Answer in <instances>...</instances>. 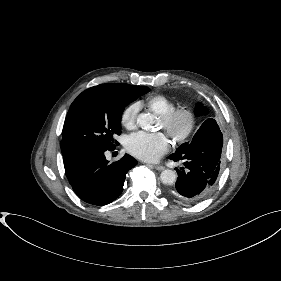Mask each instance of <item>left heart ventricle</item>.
<instances>
[{
    "label": "left heart ventricle",
    "mask_w": 281,
    "mask_h": 281,
    "mask_svg": "<svg viewBox=\"0 0 281 281\" xmlns=\"http://www.w3.org/2000/svg\"><path fill=\"white\" fill-rule=\"evenodd\" d=\"M185 126V120L183 118H179L173 125V129L175 131H181ZM160 127L163 128L162 123L160 121Z\"/></svg>",
    "instance_id": "b2bd125f"
}]
</instances>
